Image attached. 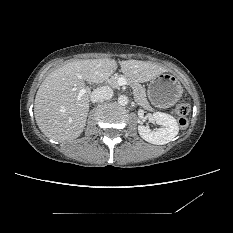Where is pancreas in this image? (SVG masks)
<instances>
[{"mask_svg": "<svg viewBox=\"0 0 233 233\" xmlns=\"http://www.w3.org/2000/svg\"><path fill=\"white\" fill-rule=\"evenodd\" d=\"M124 77L123 75H114L112 76L109 80H108V84L113 87V88H119V84H118V79ZM127 79V78H126ZM133 89V93H134V98L135 101L137 102L138 105H140L141 107L145 108V109H150V105L149 102L147 101L146 98V92L145 89L137 82L131 81L129 79H127Z\"/></svg>", "mask_w": 233, "mask_h": 233, "instance_id": "cf45deb5", "label": "pancreas"}]
</instances>
